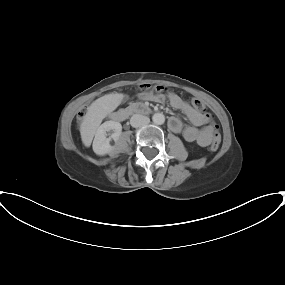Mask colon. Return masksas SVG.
Segmentation results:
<instances>
[{
  "instance_id": "colon-1",
  "label": "colon",
  "mask_w": 285,
  "mask_h": 285,
  "mask_svg": "<svg viewBox=\"0 0 285 285\" xmlns=\"http://www.w3.org/2000/svg\"><path fill=\"white\" fill-rule=\"evenodd\" d=\"M140 90L143 93H147V92L160 93V92H163L165 88L160 85L152 86L150 84L144 83L140 85ZM191 103L196 109L204 112V115L209 122L208 127L211 132V149L216 150L219 147L220 142H221V134H220L218 125L213 121L212 115L208 112L207 107L202 100L198 98H192ZM82 115H84V112H82Z\"/></svg>"
}]
</instances>
